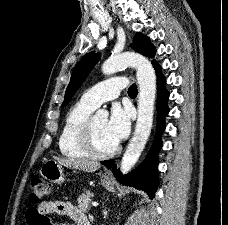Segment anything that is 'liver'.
<instances>
[{"label":"liver","instance_id":"1","mask_svg":"<svg viewBox=\"0 0 228 225\" xmlns=\"http://www.w3.org/2000/svg\"><path fill=\"white\" fill-rule=\"evenodd\" d=\"M53 159L58 161L60 165L71 167V169H80V171H96V169H100V163H95V161H69V159H58V157H53Z\"/></svg>","mask_w":228,"mask_h":225}]
</instances>
